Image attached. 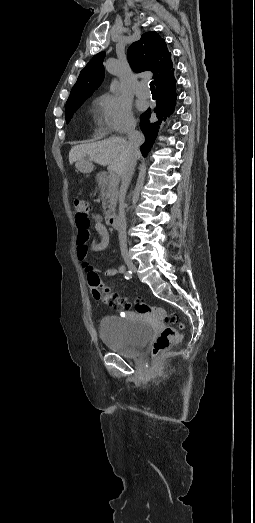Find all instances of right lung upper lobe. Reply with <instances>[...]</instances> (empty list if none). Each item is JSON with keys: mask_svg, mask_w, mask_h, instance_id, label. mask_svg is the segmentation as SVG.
<instances>
[{"mask_svg": "<svg viewBox=\"0 0 255 523\" xmlns=\"http://www.w3.org/2000/svg\"><path fill=\"white\" fill-rule=\"evenodd\" d=\"M104 57V52L98 53L83 68L67 103L84 102L100 86L104 79ZM127 57L135 72L153 73L152 78L157 91L156 106L152 110L149 108L140 117V129L145 137L141 152L146 156L155 142L159 125L175 108L177 97L175 69L164 39L154 31L142 34L141 38L129 47ZM151 115L152 118L149 120Z\"/></svg>", "mask_w": 255, "mask_h": 523, "instance_id": "cb5924a9", "label": "right lung upper lobe"}]
</instances>
